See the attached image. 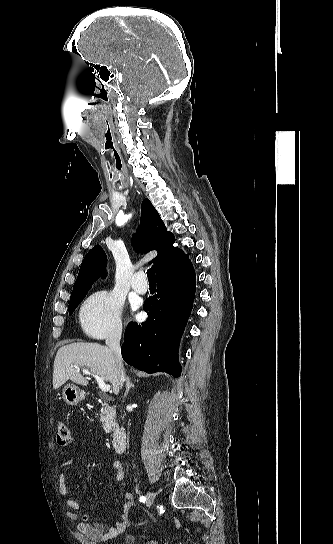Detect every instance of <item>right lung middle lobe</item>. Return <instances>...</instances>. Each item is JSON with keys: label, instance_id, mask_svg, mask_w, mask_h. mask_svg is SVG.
<instances>
[{"label": "right lung middle lobe", "instance_id": "obj_1", "mask_svg": "<svg viewBox=\"0 0 333 544\" xmlns=\"http://www.w3.org/2000/svg\"><path fill=\"white\" fill-rule=\"evenodd\" d=\"M88 291L81 292L75 295H72L70 298V304L68 306V310L70 312V315L73 313V311L76 309L79 303L84 299Z\"/></svg>", "mask_w": 333, "mask_h": 544}]
</instances>
